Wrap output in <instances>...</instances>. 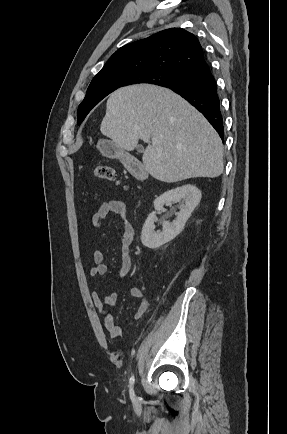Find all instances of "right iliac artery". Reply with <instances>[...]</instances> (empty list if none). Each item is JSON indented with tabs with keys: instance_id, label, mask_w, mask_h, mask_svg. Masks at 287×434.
Instances as JSON below:
<instances>
[{
	"instance_id": "82829eb1",
	"label": "right iliac artery",
	"mask_w": 287,
	"mask_h": 434,
	"mask_svg": "<svg viewBox=\"0 0 287 434\" xmlns=\"http://www.w3.org/2000/svg\"><path fill=\"white\" fill-rule=\"evenodd\" d=\"M134 382H135V378H134V376H132V377L130 378V380H129L130 396H131V397L134 396V390H133Z\"/></svg>"
}]
</instances>
